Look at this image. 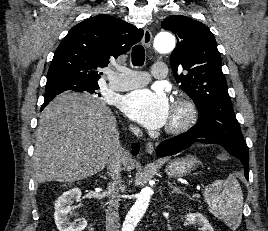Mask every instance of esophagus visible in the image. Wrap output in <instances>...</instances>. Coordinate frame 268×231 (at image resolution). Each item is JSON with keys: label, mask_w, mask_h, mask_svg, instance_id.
<instances>
[{"label": "esophagus", "mask_w": 268, "mask_h": 231, "mask_svg": "<svg viewBox=\"0 0 268 231\" xmlns=\"http://www.w3.org/2000/svg\"><path fill=\"white\" fill-rule=\"evenodd\" d=\"M142 43L147 47L150 48L152 45V34L149 29H144V34L142 38ZM145 151L147 154H153L154 153V145L152 142H148L145 146Z\"/></svg>", "instance_id": "1"}]
</instances>
